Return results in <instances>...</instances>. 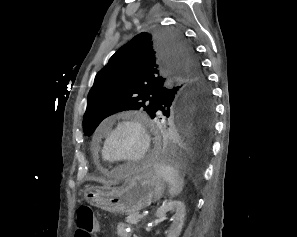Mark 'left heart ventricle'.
I'll return each mask as SVG.
<instances>
[{
	"label": "left heart ventricle",
	"mask_w": 297,
	"mask_h": 237,
	"mask_svg": "<svg viewBox=\"0 0 297 237\" xmlns=\"http://www.w3.org/2000/svg\"><path fill=\"white\" fill-rule=\"evenodd\" d=\"M142 148V138L131 126H124L111 138L108 151L115 157L128 159L137 156Z\"/></svg>",
	"instance_id": "1"
}]
</instances>
